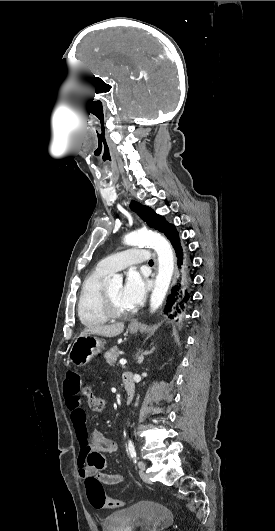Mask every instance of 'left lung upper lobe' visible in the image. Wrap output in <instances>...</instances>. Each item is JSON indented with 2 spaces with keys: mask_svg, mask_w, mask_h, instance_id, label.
I'll use <instances>...</instances> for the list:
<instances>
[{
  "mask_svg": "<svg viewBox=\"0 0 275 531\" xmlns=\"http://www.w3.org/2000/svg\"><path fill=\"white\" fill-rule=\"evenodd\" d=\"M130 208L135 211L148 226L165 233L166 229L171 225L165 221V218L156 214L151 208L143 206L142 204L132 201Z\"/></svg>",
  "mask_w": 275,
  "mask_h": 531,
  "instance_id": "1",
  "label": "left lung upper lobe"
}]
</instances>
